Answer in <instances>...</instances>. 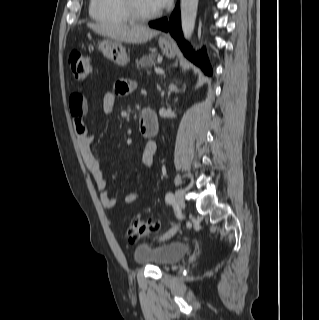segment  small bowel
<instances>
[{
    "label": "small bowel",
    "mask_w": 319,
    "mask_h": 320,
    "mask_svg": "<svg viewBox=\"0 0 319 320\" xmlns=\"http://www.w3.org/2000/svg\"><path fill=\"white\" fill-rule=\"evenodd\" d=\"M132 83L128 80L122 79L117 83L116 93L108 92L103 95L102 109L105 114L113 111L117 95H125L130 93ZM69 110L73 118V126L77 137V145L81 154L82 160L91 174L92 179L99 190L100 201L107 209H112L116 205V198L112 196L107 190V184L100 169L99 160L92 150L93 134L88 130L84 115L86 112V100L84 96L75 92L69 98ZM157 146L153 141H147L144 145L141 154V161L144 166L151 167L154 162ZM139 198L137 191L126 194L123 198L125 204H132Z\"/></svg>",
    "instance_id": "small-bowel-1"
}]
</instances>
